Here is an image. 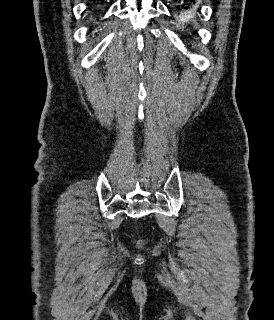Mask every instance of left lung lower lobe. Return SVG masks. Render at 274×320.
Returning a JSON list of instances; mask_svg holds the SVG:
<instances>
[{
	"label": "left lung lower lobe",
	"instance_id": "obj_1",
	"mask_svg": "<svg viewBox=\"0 0 274 320\" xmlns=\"http://www.w3.org/2000/svg\"><path fill=\"white\" fill-rule=\"evenodd\" d=\"M175 10L180 13L191 14L195 9V0H173Z\"/></svg>",
	"mask_w": 274,
	"mask_h": 320
}]
</instances>
